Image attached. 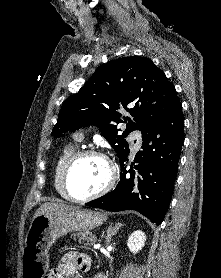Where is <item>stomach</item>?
Here are the masks:
<instances>
[{
    "mask_svg": "<svg viewBox=\"0 0 221 278\" xmlns=\"http://www.w3.org/2000/svg\"><path fill=\"white\" fill-rule=\"evenodd\" d=\"M107 220L106 214L88 209L35 216L30 224L21 257L24 278H45L49 269L47 254L55 241L69 232L90 231Z\"/></svg>",
    "mask_w": 221,
    "mask_h": 278,
    "instance_id": "1",
    "label": "stomach"
}]
</instances>
